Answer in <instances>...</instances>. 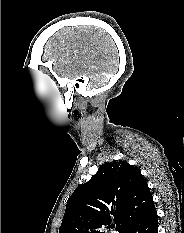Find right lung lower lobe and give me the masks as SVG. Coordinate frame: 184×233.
Listing matches in <instances>:
<instances>
[{"mask_svg": "<svg viewBox=\"0 0 184 233\" xmlns=\"http://www.w3.org/2000/svg\"><path fill=\"white\" fill-rule=\"evenodd\" d=\"M121 233H158L157 212L154 204Z\"/></svg>", "mask_w": 184, "mask_h": 233, "instance_id": "obj_1", "label": "right lung lower lobe"}]
</instances>
